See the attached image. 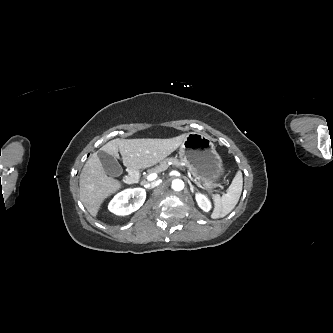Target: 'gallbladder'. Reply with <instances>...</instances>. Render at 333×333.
Instances as JSON below:
<instances>
[{
	"label": "gallbladder",
	"instance_id": "bac80fb5",
	"mask_svg": "<svg viewBox=\"0 0 333 333\" xmlns=\"http://www.w3.org/2000/svg\"><path fill=\"white\" fill-rule=\"evenodd\" d=\"M97 155L107 175L117 177L123 173V169L115 157L102 150H98Z\"/></svg>",
	"mask_w": 333,
	"mask_h": 333
}]
</instances>
